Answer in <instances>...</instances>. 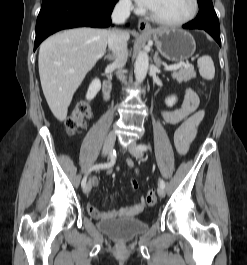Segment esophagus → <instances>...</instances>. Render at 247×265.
<instances>
[{
	"instance_id": "34e87169",
	"label": "esophagus",
	"mask_w": 247,
	"mask_h": 265,
	"mask_svg": "<svg viewBox=\"0 0 247 265\" xmlns=\"http://www.w3.org/2000/svg\"><path fill=\"white\" fill-rule=\"evenodd\" d=\"M138 29H139V31L146 33V32L151 31V26L147 21H145L143 19H139L138 20Z\"/></svg>"
}]
</instances>
